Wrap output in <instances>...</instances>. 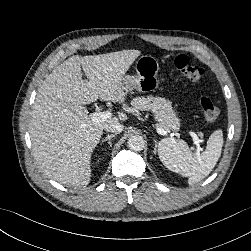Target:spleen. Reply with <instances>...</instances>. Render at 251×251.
<instances>
[{
	"instance_id": "3e777b00",
	"label": "spleen",
	"mask_w": 251,
	"mask_h": 251,
	"mask_svg": "<svg viewBox=\"0 0 251 251\" xmlns=\"http://www.w3.org/2000/svg\"><path fill=\"white\" fill-rule=\"evenodd\" d=\"M223 133L214 131L207 142L206 150L192 153L183 140L165 138L158 143V155L169 170L188 177V183L194 184L204 179L215 167L221 155Z\"/></svg>"
}]
</instances>
